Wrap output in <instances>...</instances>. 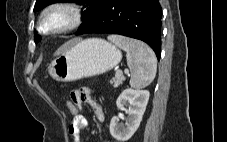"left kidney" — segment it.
Here are the masks:
<instances>
[{
  "mask_svg": "<svg viewBox=\"0 0 227 142\" xmlns=\"http://www.w3.org/2000/svg\"><path fill=\"white\" fill-rule=\"evenodd\" d=\"M150 93L148 90H136L132 88L125 89L116 101L117 108L120 109L124 105H130L127 113L128 118L126 126L119 124V119L114 116L110 122V134L120 142H126L138 129L146 106L149 100Z\"/></svg>",
  "mask_w": 227,
  "mask_h": 142,
  "instance_id": "left-kidney-1",
  "label": "left kidney"
}]
</instances>
